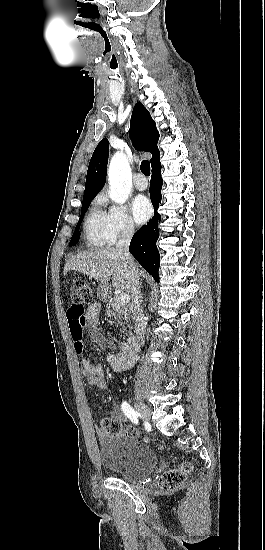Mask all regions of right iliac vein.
I'll list each match as a JSON object with an SVG mask.
<instances>
[{
    "label": "right iliac vein",
    "mask_w": 265,
    "mask_h": 550,
    "mask_svg": "<svg viewBox=\"0 0 265 550\" xmlns=\"http://www.w3.org/2000/svg\"><path fill=\"white\" fill-rule=\"evenodd\" d=\"M135 407L140 415L147 421L151 418V410L140 399L135 398Z\"/></svg>",
    "instance_id": "obj_1"
}]
</instances>
